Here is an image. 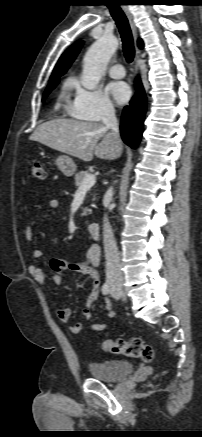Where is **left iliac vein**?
Segmentation results:
<instances>
[{
  "label": "left iliac vein",
  "instance_id": "obj_1",
  "mask_svg": "<svg viewBox=\"0 0 202 437\" xmlns=\"http://www.w3.org/2000/svg\"><path fill=\"white\" fill-rule=\"evenodd\" d=\"M111 295H112V297L115 298L116 300H118V299L120 298V296L115 292L114 289H112V291H111Z\"/></svg>",
  "mask_w": 202,
  "mask_h": 437
}]
</instances>
